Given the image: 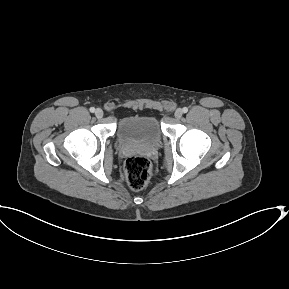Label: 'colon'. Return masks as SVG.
<instances>
[{
	"instance_id": "1",
	"label": "colon",
	"mask_w": 289,
	"mask_h": 289,
	"mask_svg": "<svg viewBox=\"0 0 289 289\" xmlns=\"http://www.w3.org/2000/svg\"><path fill=\"white\" fill-rule=\"evenodd\" d=\"M124 174L131 189L141 190L150 180L151 164L144 156H131L125 161Z\"/></svg>"
}]
</instances>
